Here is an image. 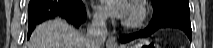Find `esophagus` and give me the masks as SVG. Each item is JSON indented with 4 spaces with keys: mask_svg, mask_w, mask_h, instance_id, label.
I'll use <instances>...</instances> for the list:
<instances>
[{
    "mask_svg": "<svg viewBox=\"0 0 213 48\" xmlns=\"http://www.w3.org/2000/svg\"><path fill=\"white\" fill-rule=\"evenodd\" d=\"M108 48H117V41L114 36H110L106 42Z\"/></svg>",
    "mask_w": 213,
    "mask_h": 48,
    "instance_id": "obj_1",
    "label": "esophagus"
}]
</instances>
